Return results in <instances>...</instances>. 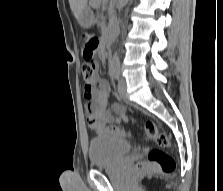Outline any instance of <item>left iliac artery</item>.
<instances>
[{"instance_id": "44dca946", "label": "left iliac artery", "mask_w": 223, "mask_h": 191, "mask_svg": "<svg viewBox=\"0 0 223 191\" xmlns=\"http://www.w3.org/2000/svg\"><path fill=\"white\" fill-rule=\"evenodd\" d=\"M112 72H113V75H114L115 79H119L120 65L118 63H116L112 66Z\"/></svg>"}]
</instances>
